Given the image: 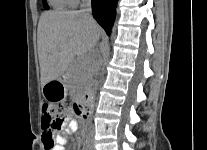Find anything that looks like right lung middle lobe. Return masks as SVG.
Segmentation results:
<instances>
[{
	"label": "right lung middle lobe",
	"mask_w": 207,
	"mask_h": 150,
	"mask_svg": "<svg viewBox=\"0 0 207 150\" xmlns=\"http://www.w3.org/2000/svg\"><path fill=\"white\" fill-rule=\"evenodd\" d=\"M43 5H44V8H45V9H49V6H48L46 0H43Z\"/></svg>",
	"instance_id": "1"
}]
</instances>
